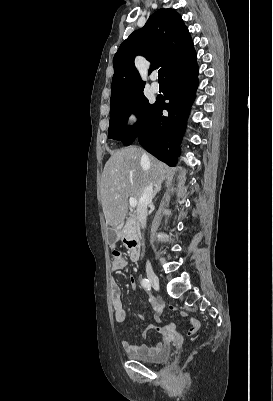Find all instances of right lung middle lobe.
Wrapping results in <instances>:
<instances>
[{"label":"right lung middle lobe","instance_id":"right-lung-middle-lobe-1","mask_svg":"<svg viewBox=\"0 0 273 401\" xmlns=\"http://www.w3.org/2000/svg\"><path fill=\"white\" fill-rule=\"evenodd\" d=\"M154 104H149L143 93L127 98L120 104L110 107V124L108 138L120 140L124 145H130L137 137L139 131L151 119ZM135 112L138 122L130 129L126 126L129 115Z\"/></svg>","mask_w":273,"mask_h":401}]
</instances>
